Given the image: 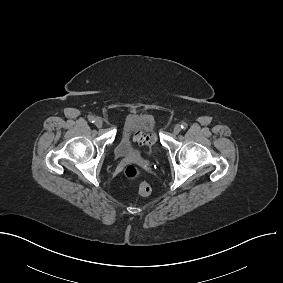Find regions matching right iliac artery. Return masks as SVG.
Here are the masks:
<instances>
[{"instance_id":"obj_1","label":"right iliac artery","mask_w":283,"mask_h":283,"mask_svg":"<svg viewBox=\"0 0 283 283\" xmlns=\"http://www.w3.org/2000/svg\"><path fill=\"white\" fill-rule=\"evenodd\" d=\"M88 120H89L91 123H94V122H95L94 116H89V117H88Z\"/></svg>"}]
</instances>
